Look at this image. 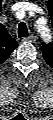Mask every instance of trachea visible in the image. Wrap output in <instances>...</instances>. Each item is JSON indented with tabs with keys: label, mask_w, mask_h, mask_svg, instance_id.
I'll return each instance as SVG.
<instances>
[{
	"label": "trachea",
	"mask_w": 53,
	"mask_h": 120,
	"mask_svg": "<svg viewBox=\"0 0 53 120\" xmlns=\"http://www.w3.org/2000/svg\"><path fill=\"white\" fill-rule=\"evenodd\" d=\"M29 35L28 33V29L25 23H20L18 26V37L22 38V37H27Z\"/></svg>",
	"instance_id": "1"
}]
</instances>
